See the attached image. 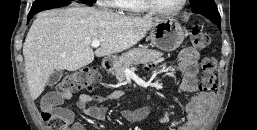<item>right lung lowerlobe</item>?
Masks as SVG:
<instances>
[{
  "label": "right lung lower lobe",
  "mask_w": 257,
  "mask_h": 130,
  "mask_svg": "<svg viewBox=\"0 0 257 130\" xmlns=\"http://www.w3.org/2000/svg\"><path fill=\"white\" fill-rule=\"evenodd\" d=\"M54 7H56V6H54ZM51 8H53V7H51ZM31 16H32L31 14L28 15V20H30Z\"/></svg>",
  "instance_id": "obj_1"
}]
</instances>
